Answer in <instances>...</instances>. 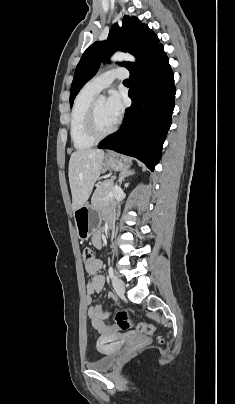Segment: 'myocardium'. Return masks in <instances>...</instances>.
<instances>
[{
  "instance_id": "f54148a6",
  "label": "myocardium",
  "mask_w": 235,
  "mask_h": 404,
  "mask_svg": "<svg viewBox=\"0 0 235 404\" xmlns=\"http://www.w3.org/2000/svg\"><path fill=\"white\" fill-rule=\"evenodd\" d=\"M116 129V124H113L108 130L100 132L97 126L95 102H92L88 109L87 120H86V132L90 139L98 142L109 135H111Z\"/></svg>"
}]
</instances>
